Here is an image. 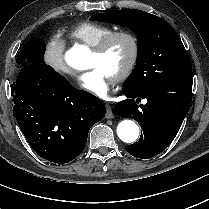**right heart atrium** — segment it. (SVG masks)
<instances>
[{
  "label": "right heart atrium",
  "instance_id": "d8ad5b80",
  "mask_svg": "<svg viewBox=\"0 0 209 209\" xmlns=\"http://www.w3.org/2000/svg\"><path fill=\"white\" fill-rule=\"evenodd\" d=\"M66 43L58 35L50 36L44 45L43 58L45 63L56 73L63 76H73L74 70L69 67L64 58Z\"/></svg>",
  "mask_w": 209,
  "mask_h": 209
}]
</instances>
